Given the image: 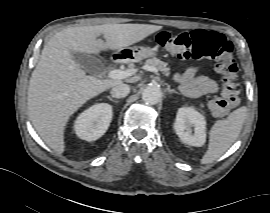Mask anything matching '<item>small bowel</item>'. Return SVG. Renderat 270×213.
Returning <instances> with one entry per match:
<instances>
[{"instance_id":"obj_1","label":"small bowel","mask_w":270,"mask_h":213,"mask_svg":"<svg viewBox=\"0 0 270 213\" xmlns=\"http://www.w3.org/2000/svg\"><path fill=\"white\" fill-rule=\"evenodd\" d=\"M199 68L190 67L185 72L175 75L181 91L191 98H198L217 91V84L213 79L204 75H196Z\"/></svg>"}]
</instances>
